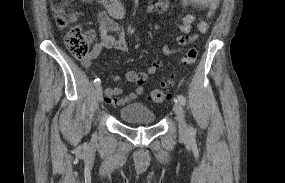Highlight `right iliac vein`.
I'll use <instances>...</instances> for the list:
<instances>
[{
	"label": "right iliac vein",
	"mask_w": 285,
	"mask_h": 183,
	"mask_svg": "<svg viewBox=\"0 0 285 183\" xmlns=\"http://www.w3.org/2000/svg\"><path fill=\"white\" fill-rule=\"evenodd\" d=\"M95 94H96L97 100L99 102H102V100H103V93H102V89H101L100 85L96 86Z\"/></svg>",
	"instance_id": "1"
}]
</instances>
